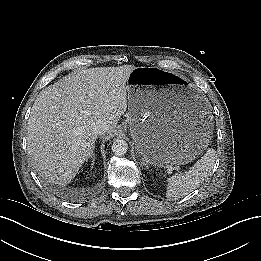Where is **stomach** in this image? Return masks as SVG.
<instances>
[{"mask_svg":"<svg viewBox=\"0 0 261 261\" xmlns=\"http://www.w3.org/2000/svg\"><path fill=\"white\" fill-rule=\"evenodd\" d=\"M127 92L131 136L148 164H186L209 145V112L203 111L202 98L184 78L136 67L128 77Z\"/></svg>","mask_w":261,"mask_h":261,"instance_id":"stomach-1","label":"stomach"}]
</instances>
